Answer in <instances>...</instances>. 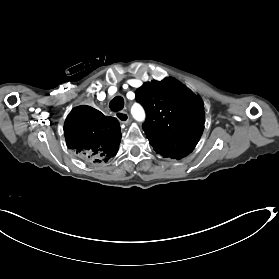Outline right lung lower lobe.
<instances>
[{
    "instance_id": "obj_1",
    "label": "right lung lower lobe",
    "mask_w": 279,
    "mask_h": 279,
    "mask_svg": "<svg viewBox=\"0 0 279 279\" xmlns=\"http://www.w3.org/2000/svg\"><path fill=\"white\" fill-rule=\"evenodd\" d=\"M64 134L67 147L87 164L107 162L116 155L121 140L119 121L90 106L70 112Z\"/></svg>"
}]
</instances>
